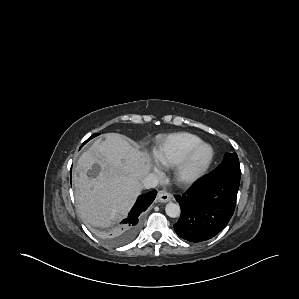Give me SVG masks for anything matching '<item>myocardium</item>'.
<instances>
[{"label": "myocardium", "instance_id": "f54148a6", "mask_svg": "<svg viewBox=\"0 0 299 299\" xmlns=\"http://www.w3.org/2000/svg\"><path fill=\"white\" fill-rule=\"evenodd\" d=\"M207 148L209 156L201 165L196 164V158L201 150ZM215 158V150L212 145L201 142L193 148L188 155L178 164L175 171V179L180 185L188 186L199 181L209 170Z\"/></svg>", "mask_w": 299, "mask_h": 299}]
</instances>
